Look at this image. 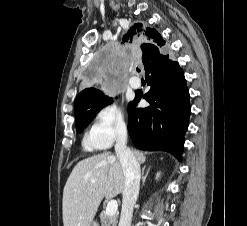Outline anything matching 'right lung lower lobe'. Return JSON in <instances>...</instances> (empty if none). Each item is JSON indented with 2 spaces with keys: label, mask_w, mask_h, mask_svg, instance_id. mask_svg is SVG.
Masks as SVG:
<instances>
[{
  "label": "right lung lower lobe",
  "mask_w": 247,
  "mask_h": 226,
  "mask_svg": "<svg viewBox=\"0 0 247 226\" xmlns=\"http://www.w3.org/2000/svg\"><path fill=\"white\" fill-rule=\"evenodd\" d=\"M143 64L151 85L143 98L150 106L136 108L142 95L129 103V134L138 149L167 151L181 161L191 112L184 73L165 46L149 50Z\"/></svg>",
  "instance_id": "obj_1"
}]
</instances>
